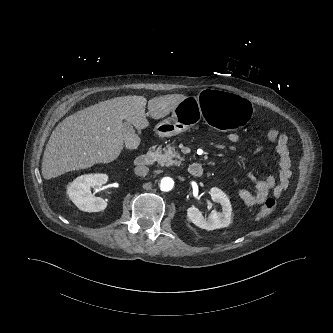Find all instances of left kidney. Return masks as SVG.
<instances>
[{
    "instance_id": "1",
    "label": "left kidney",
    "mask_w": 333,
    "mask_h": 333,
    "mask_svg": "<svg viewBox=\"0 0 333 333\" xmlns=\"http://www.w3.org/2000/svg\"><path fill=\"white\" fill-rule=\"evenodd\" d=\"M210 195L213 201L222 206V212L212 210L208 218H205L196 207H190L187 210V216L196 226L206 230L220 229L227 227L231 223L232 208L227 195L219 188H212Z\"/></svg>"
}]
</instances>
